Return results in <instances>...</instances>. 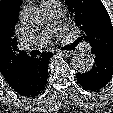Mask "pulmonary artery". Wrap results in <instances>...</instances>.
Listing matches in <instances>:
<instances>
[{
  "mask_svg": "<svg viewBox=\"0 0 113 113\" xmlns=\"http://www.w3.org/2000/svg\"><path fill=\"white\" fill-rule=\"evenodd\" d=\"M46 13V26L37 34L31 36L24 44L26 49H36L45 46L51 39L54 32L59 29V19L61 16V4L59 0H46L42 3ZM84 48L87 50L88 45Z\"/></svg>",
  "mask_w": 113,
  "mask_h": 113,
  "instance_id": "1",
  "label": "pulmonary artery"
}]
</instances>
